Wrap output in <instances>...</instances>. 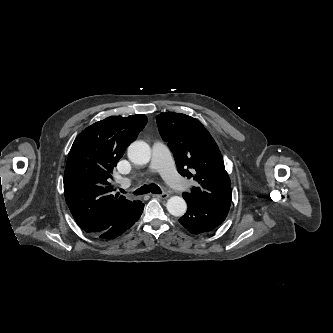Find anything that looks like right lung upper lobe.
I'll return each instance as SVG.
<instances>
[{"label":"right lung upper lobe","mask_w":333,"mask_h":333,"mask_svg":"<svg viewBox=\"0 0 333 333\" xmlns=\"http://www.w3.org/2000/svg\"><path fill=\"white\" fill-rule=\"evenodd\" d=\"M147 123L144 114L110 116L84 129L68 154L64 195L76 223L92 234L105 231L138 207L113 196V168Z\"/></svg>","instance_id":"1"}]
</instances>
